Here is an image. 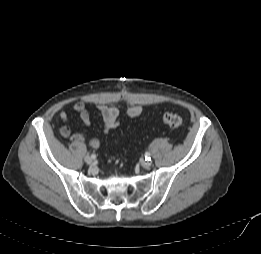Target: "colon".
<instances>
[{"instance_id":"1","label":"colon","mask_w":261,"mask_h":254,"mask_svg":"<svg viewBox=\"0 0 261 254\" xmlns=\"http://www.w3.org/2000/svg\"><path fill=\"white\" fill-rule=\"evenodd\" d=\"M161 121L171 127V128H179L183 125V120L181 116L176 113H165L161 116Z\"/></svg>"}]
</instances>
